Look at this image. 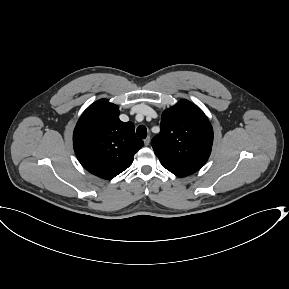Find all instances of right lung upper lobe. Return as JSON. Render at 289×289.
Here are the masks:
<instances>
[{"mask_svg": "<svg viewBox=\"0 0 289 289\" xmlns=\"http://www.w3.org/2000/svg\"><path fill=\"white\" fill-rule=\"evenodd\" d=\"M143 145L133 123L120 121L119 108L106 99L83 112L73 133L74 151L82 166L104 179L127 169Z\"/></svg>", "mask_w": 289, "mask_h": 289, "instance_id": "cb5924a9", "label": "right lung upper lobe"}]
</instances>
